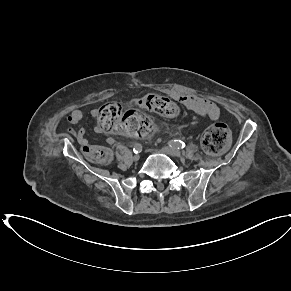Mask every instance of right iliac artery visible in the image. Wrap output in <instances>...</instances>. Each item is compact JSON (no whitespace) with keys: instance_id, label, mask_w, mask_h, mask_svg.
<instances>
[{"instance_id":"1","label":"right iliac artery","mask_w":291,"mask_h":291,"mask_svg":"<svg viewBox=\"0 0 291 291\" xmlns=\"http://www.w3.org/2000/svg\"><path fill=\"white\" fill-rule=\"evenodd\" d=\"M142 150V146L140 144H135L133 151L134 153H139Z\"/></svg>"}]
</instances>
